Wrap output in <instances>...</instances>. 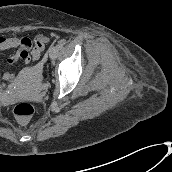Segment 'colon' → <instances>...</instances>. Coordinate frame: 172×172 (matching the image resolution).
<instances>
[{
    "instance_id": "1",
    "label": "colon",
    "mask_w": 172,
    "mask_h": 172,
    "mask_svg": "<svg viewBox=\"0 0 172 172\" xmlns=\"http://www.w3.org/2000/svg\"><path fill=\"white\" fill-rule=\"evenodd\" d=\"M43 37L48 39L45 35ZM13 113L20 123L25 124L34 114V107L28 102H20L14 106Z\"/></svg>"
}]
</instances>
